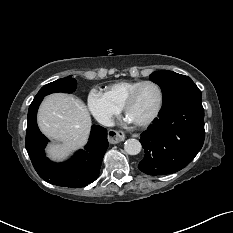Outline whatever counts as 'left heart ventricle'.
Instances as JSON below:
<instances>
[{
    "label": "left heart ventricle",
    "mask_w": 233,
    "mask_h": 233,
    "mask_svg": "<svg viewBox=\"0 0 233 233\" xmlns=\"http://www.w3.org/2000/svg\"><path fill=\"white\" fill-rule=\"evenodd\" d=\"M159 99L158 90L153 85H145L138 93L135 102L128 111L132 121H140L149 117L155 110Z\"/></svg>",
    "instance_id": "b2bd125f"
}]
</instances>
